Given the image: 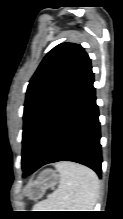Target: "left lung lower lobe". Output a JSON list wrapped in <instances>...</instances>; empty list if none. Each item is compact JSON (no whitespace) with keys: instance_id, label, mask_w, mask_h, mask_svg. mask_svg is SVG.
Returning a JSON list of instances; mask_svg holds the SVG:
<instances>
[{"instance_id":"1","label":"left lung lower lobe","mask_w":123,"mask_h":219,"mask_svg":"<svg viewBox=\"0 0 123 219\" xmlns=\"http://www.w3.org/2000/svg\"><path fill=\"white\" fill-rule=\"evenodd\" d=\"M93 82L91 69L54 112L23 167L24 177L58 161L83 164L101 177L100 123Z\"/></svg>"}]
</instances>
